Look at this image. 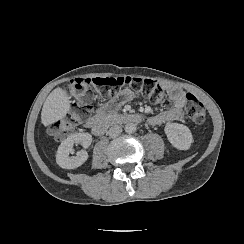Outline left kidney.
Segmentation results:
<instances>
[{
  "label": "left kidney",
  "mask_w": 244,
  "mask_h": 244,
  "mask_svg": "<svg viewBox=\"0 0 244 244\" xmlns=\"http://www.w3.org/2000/svg\"><path fill=\"white\" fill-rule=\"evenodd\" d=\"M170 143L179 150H188L193 142L189 128L183 124L168 123L164 129Z\"/></svg>",
  "instance_id": "obj_1"
}]
</instances>
